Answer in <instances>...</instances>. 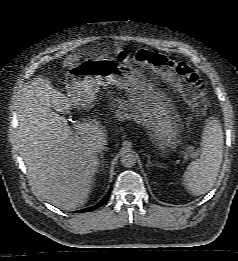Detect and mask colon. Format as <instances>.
<instances>
[{
    "mask_svg": "<svg viewBox=\"0 0 238 261\" xmlns=\"http://www.w3.org/2000/svg\"><path fill=\"white\" fill-rule=\"evenodd\" d=\"M120 58L147 67L171 82L198 114L207 109L205 87L200 76L187 63L146 49L121 51Z\"/></svg>",
    "mask_w": 238,
    "mask_h": 261,
    "instance_id": "1",
    "label": "colon"
}]
</instances>
